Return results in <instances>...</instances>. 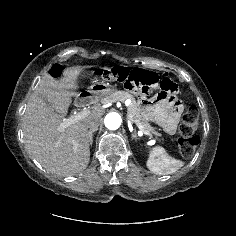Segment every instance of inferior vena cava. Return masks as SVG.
Wrapping results in <instances>:
<instances>
[{
  "instance_id": "1",
  "label": "inferior vena cava",
  "mask_w": 236,
  "mask_h": 236,
  "mask_svg": "<svg viewBox=\"0 0 236 236\" xmlns=\"http://www.w3.org/2000/svg\"><path fill=\"white\" fill-rule=\"evenodd\" d=\"M100 123H101V119L98 117H95V118H91V119L87 120L86 126L90 130H94V129L98 130Z\"/></svg>"
}]
</instances>
